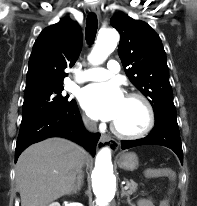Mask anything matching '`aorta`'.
Here are the masks:
<instances>
[{"instance_id": "762f6f07", "label": "aorta", "mask_w": 197, "mask_h": 206, "mask_svg": "<svg viewBox=\"0 0 197 206\" xmlns=\"http://www.w3.org/2000/svg\"><path fill=\"white\" fill-rule=\"evenodd\" d=\"M119 34L115 29L102 30L96 44L88 57L93 65L101 64L116 48ZM92 187L96 196V206H108L114 199L116 192V179L113 175L111 151L108 147L102 148L95 161L92 173Z\"/></svg>"}]
</instances>
